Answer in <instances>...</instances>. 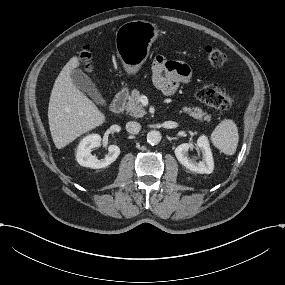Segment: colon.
I'll return each instance as SVG.
<instances>
[{"instance_id":"colon-1","label":"colon","mask_w":285,"mask_h":285,"mask_svg":"<svg viewBox=\"0 0 285 285\" xmlns=\"http://www.w3.org/2000/svg\"><path fill=\"white\" fill-rule=\"evenodd\" d=\"M208 62L215 67L223 65L227 60V55L224 51L213 46H206L204 50ZM85 62H89L90 55L87 50L81 56ZM197 99L217 110L227 111L235 106L236 99L228 94L218 85L208 83L202 85L196 92Z\"/></svg>"}]
</instances>
